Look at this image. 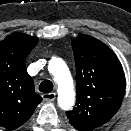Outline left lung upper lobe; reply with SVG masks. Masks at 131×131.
<instances>
[{
  "instance_id": "1",
  "label": "left lung upper lobe",
  "mask_w": 131,
  "mask_h": 131,
  "mask_svg": "<svg viewBox=\"0 0 131 131\" xmlns=\"http://www.w3.org/2000/svg\"><path fill=\"white\" fill-rule=\"evenodd\" d=\"M72 47L77 101L66 114L75 129L92 131L118 111L125 92V76L119 59L103 42L80 33Z\"/></svg>"
}]
</instances>
